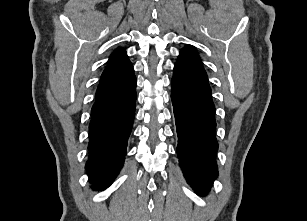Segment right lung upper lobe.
Wrapping results in <instances>:
<instances>
[{
  "mask_svg": "<svg viewBox=\"0 0 307 221\" xmlns=\"http://www.w3.org/2000/svg\"><path fill=\"white\" fill-rule=\"evenodd\" d=\"M133 78H135L133 66L126 55V51L118 48L108 60L96 94L116 90L126 85Z\"/></svg>",
  "mask_w": 307,
  "mask_h": 221,
  "instance_id": "right-lung-upper-lobe-1",
  "label": "right lung upper lobe"
}]
</instances>
